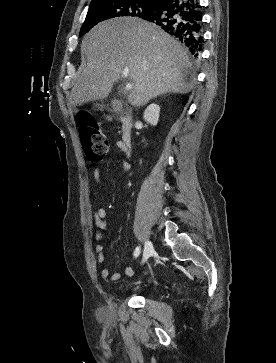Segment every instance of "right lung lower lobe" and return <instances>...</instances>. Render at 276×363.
<instances>
[{
	"label": "right lung lower lobe",
	"instance_id": "1",
	"mask_svg": "<svg viewBox=\"0 0 276 363\" xmlns=\"http://www.w3.org/2000/svg\"><path fill=\"white\" fill-rule=\"evenodd\" d=\"M199 0H163L145 20L161 27L199 56L202 51V13Z\"/></svg>",
	"mask_w": 276,
	"mask_h": 363
}]
</instances>
